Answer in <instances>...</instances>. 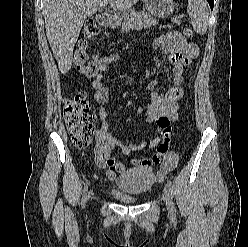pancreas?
<instances>
[{
	"label": "pancreas",
	"instance_id": "1",
	"mask_svg": "<svg viewBox=\"0 0 248 247\" xmlns=\"http://www.w3.org/2000/svg\"><path fill=\"white\" fill-rule=\"evenodd\" d=\"M122 20V32H127L133 29H141L143 27H150L151 25H155L157 23V20L155 18L151 17L144 11H127L126 13H123Z\"/></svg>",
	"mask_w": 248,
	"mask_h": 247
}]
</instances>
